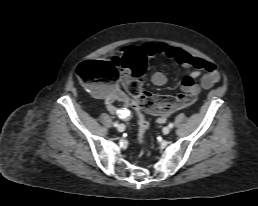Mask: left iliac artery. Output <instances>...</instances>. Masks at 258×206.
I'll use <instances>...</instances> for the list:
<instances>
[{
  "label": "left iliac artery",
  "instance_id": "left-iliac-artery-1",
  "mask_svg": "<svg viewBox=\"0 0 258 206\" xmlns=\"http://www.w3.org/2000/svg\"><path fill=\"white\" fill-rule=\"evenodd\" d=\"M168 126H169V128H173L174 125H173V123H169Z\"/></svg>",
  "mask_w": 258,
  "mask_h": 206
}]
</instances>
